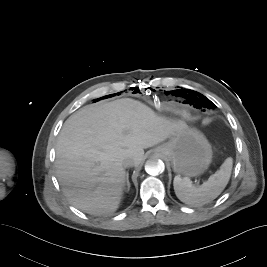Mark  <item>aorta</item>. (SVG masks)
Returning <instances> with one entry per match:
<instances>
[{"mask_svg": "<svg viewBox=\"0 0 267 267\" xmlns=\"http://www.w3.org/2000/svg\"><path fill=\"white\" fill-rule=\"evenodd\" d=\"M165 165L164 162L158 157H152L146 161L145 171L152 176H157L164 172Z\"/></svg>", "mask_w": 267, "mask_h": 267, "instance_id": "obj_1", "label": "aorta"}]
</instances>
